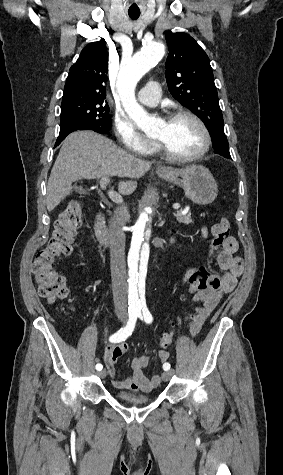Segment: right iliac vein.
Returning <instances> with one entry per match:
<instances>
[{
	"instance_id": "obj_1",
	"label": "right iliac vein",
	"mask_w": 283,
	"mask_h": 475,
	"mask_svg": "<svg viewBox=\"0 0 283 475\" xmlns=\"http://www.w3.org/2000/svg\"><path fill=\"white\" fill-rule=\"evenodd\" d=\"M98 376L104 378L106 376V370H102L101 372L98 373Z\"/></svg>"
}]
</instances>
